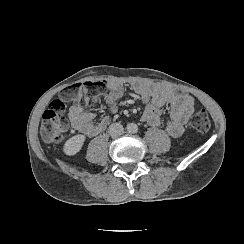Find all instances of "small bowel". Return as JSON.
Returning a JSON list of instances; mask_svg holds the SVG:
<instances>
[{
    "mask_svg": "<svg viewBox=\"0 0 244 244\" xmlns=\"http://www.w3.org/2000/svg\"><path fill=\"white\" fill-rule=\"evenodd\" d=\"M108 94L105 98L108 114L99 122L94 123L95 113L85 111L81 103L72 105L69 109V118L75 130L87 137L101 134L111 121V113L117 102L123 96L127 87L144 103L145 109L141 120L152 127L162 124V113L168 106L169 117L164 124L165 131L172 138H180L185 125L194 112L195 100L184 90L147 81L109 80L106 83Z\"/></svg>",
    "mask_w": 244,
    "mask_h": 244,
    "instance_id": "small-bowel-1",
    "label": "small bowel"
}]
</instances>
